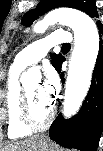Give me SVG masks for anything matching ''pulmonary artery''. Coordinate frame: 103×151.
I'll list each match as a JSON object with an SVG mask.
<instances>
[{"instance_id": "e3ab8cb5", "label": "pulmonary artery", "mask_w": 103, "mask_h": 151, "mask_svg": "<svg viewBox=\"0 0 103 151\" xmlns=\"http://www.w3.org/2000/svg\"><path fill=\"white\" fill-rule=\"evenodd\" d=\"M72 40V36L67 31H56L51 35L33 42L32 44L25 47L18 53L15 61L23 66L27 67L41 60L48 51L58 44H67Z\"/></svg>"}]
</instances>
